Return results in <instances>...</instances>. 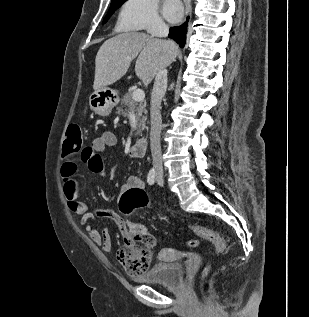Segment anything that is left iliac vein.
I'll return each mask as SVG.
<instances>
[{
	"label": "left iliac vein",
	"mask_w": 309,
	"mask_h": 317,
	"mask_svg": "<svg viewBox=\"0 0 309 317\" xmlns=\"http://www.w3.org/2000/svg\"><path fill=\"white\" fill-rule=\"evenodd\" d=\"M157 183L160 185V186H163L164 184V179L162 176H157Z\"/></svg>",
	"instance_id": "1"
}]
</instances>
